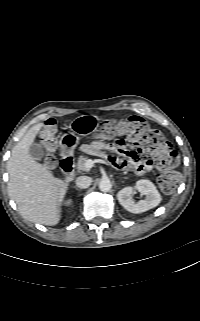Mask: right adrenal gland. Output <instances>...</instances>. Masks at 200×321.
<instances>
[{"label": "right adrenal gland", "instance_id": "obj_1", "mask_svg": "<svg viewBox=\"0 0 200 321\" xmlns=\"http://www.w3.org/2000/svg\"><path fill=\"white\" fill-rule=\"evenodd\" d=\"M73 188L76 189V190H80V189H78L76 186H74Z\"/></svg>", "mask_w": 200, "mask_h": 321}]
</instances>
